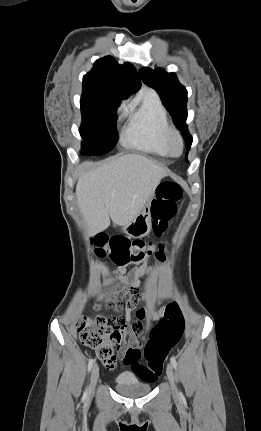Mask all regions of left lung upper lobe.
Listing matches in <instances>:
<instances>
[{"label": "left lung upper lobe", "instance_id": "obj_1", "mask_svg": "<svg viewBox=\"0 0 261 431\" xmlns=\"http://www.w3.org/2000/svg\"><path fill=\"white\" fill-rule=\"evenodd\" d=\"M139 73L143 82L154 88L159 94L163 105L171 113L173 122L181 129L186 141V148L189 149L192 144V137L185 123L187 119V90L179 83L175 73H167L164 69L142 68Z\"/></svg>", "mask_w": 261, "mask_h": 431}]
</instances>
